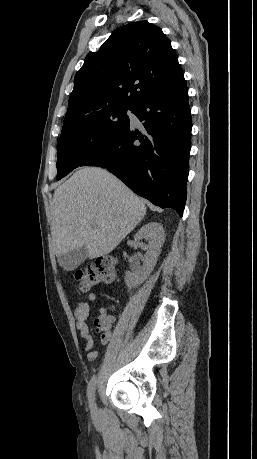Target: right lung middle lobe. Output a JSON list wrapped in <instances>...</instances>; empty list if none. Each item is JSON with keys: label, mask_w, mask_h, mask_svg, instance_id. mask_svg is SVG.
<instances>
[{"label": "right lung middle lobe", "mask_w": 257, "mask_h": 459, "mask_svg": "<svg viewBox=\"0 0 257 459\" xmlns=\"http://www.w3.org/2000/svg\"><path fill=\"white\" fill-rule=\"evenodd\" d=\"M134 108H109L62 128L58 142L57 180L109 147L129 127L127 111L133 112Z\"/></svg>", "instance_id": "1"}]
</instances>
